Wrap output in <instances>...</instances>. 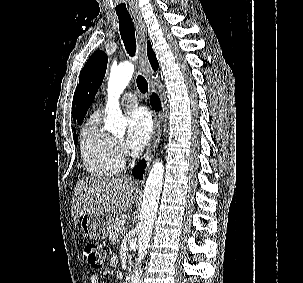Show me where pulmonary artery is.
<instances>
[{"instance_id": "e3ab8cb5", "label": "pulmonary artery", "mask_w": 303, "mask_h": 283, "mask_svg": "<svg viewBox=\"0 0 303 283\" xmlns=\"http://www.w3.org/2000/svg\"><path fill=\"white\" fill-rule=\"evenodd\" d=\"M138 99L135 94L125 93L121 98V104L128 107L136 106Z\"/></svg>"}]
</instances>
